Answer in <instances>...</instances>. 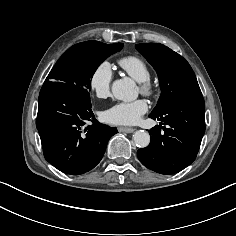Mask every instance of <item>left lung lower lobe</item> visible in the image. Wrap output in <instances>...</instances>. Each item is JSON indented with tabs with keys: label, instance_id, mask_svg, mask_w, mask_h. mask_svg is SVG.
I'll list each match as a JSON object with an SVG mask.
<instances>
[{
	"label": "left lung lower lobe",
	"instance_id": "left-lung-lower-lobe-1",
	"mask_svg": "<svg viewBox=\"0 0 236 236\" xmlns=\"http://www.w3.org/2000/svg\"><path fill=\"white\" fill-rule=\"evenodd\" d=\"M204 112L202 93L193 92L175 99L163 113L150 114V118L162 122L150 130V144L137 151L140 162L161 174H174L189 166L205 132Z\"/></svg>",
	"mask_w": 236,
	"mask_h": 236
}]
</instances>
